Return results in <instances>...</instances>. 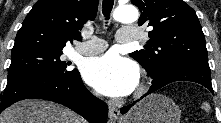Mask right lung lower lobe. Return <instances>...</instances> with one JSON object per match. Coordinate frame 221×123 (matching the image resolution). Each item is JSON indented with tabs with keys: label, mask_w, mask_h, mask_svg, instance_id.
<instances>
[{
	"label": "right lung lower lobe",
	"mask_w": 221,
	"mask_h": 123,
	"mask_svg": "<svg viewBox=\"0 0 221 123\" xmlns=\"http://www.w3.org/2000/svg\"><path fill=\"white\" fill-rule=\"evenodd\" d=\"M30 98L65 105L90 123L107 122L108 106L85 88L79 72L64 78L28 74L8 79L0 112L19 100Z\"/></svg>",
	"instance_id": "right-lung-lower-lobe-1"
}]
</instances>
